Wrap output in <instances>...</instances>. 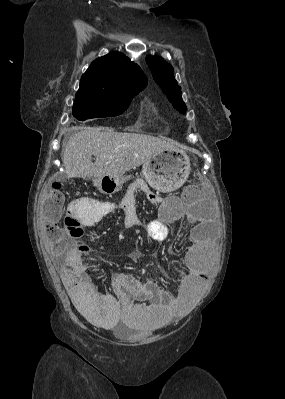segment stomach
I'll return each instance as SVG.
<instances>
[{"instance_id":"1","label":"stomach","mask_w":285,"mask_h":399,"mask_svg":"<svg viewBox=\"0 0 285 399\" xmlns=\"http://www.w3.org/2000/svg\"><path fill=\"white\" fill-rule=\"evenodd\" d=\"M190 159L181 149H164L142 166V176L148 184L161 192H171L183 185L190 174ZM125 179L107 175L95 179L94 185L101 193L112 194L120 190Z\"/></svg>"}]
</instances>
